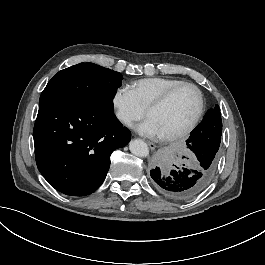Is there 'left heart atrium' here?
<instances>
[{
  "label": "left heart atrium",
  "instance_id": "obj_1",
  "mask_svg": "<svg viewBox=\"0 0 265 265\" xmlns=\"http://www.w3.org/2000/svg\"><path fill=\"white\" fill-rule=\"evenodd\" d=\"M136 131L140 135L149 138L160 139L164 137L155 120L151 118H148L142 123L138 124V126L136 127Z\"/></svg>",
  "mask_w": 265,
  "mask_h": 265
}]
</instances>
